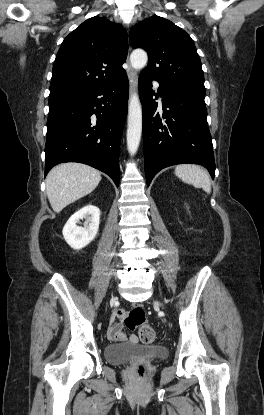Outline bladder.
<instances>
[{
	"mask_svg": "<svg viewBox=\"0 0 264 415\" xmlns=\"http://www.w3.org/2000/svg\"><path fill=\"white\" fill-rule=\"evenodd\" d=\"M104 357L114 365H123L134 357H144L149 360L166 359L168 351L163 346H144L138 343L127 342L105 346Z\"/></svg>",
	"mask_w": 264,
	"mask_h": 415,
	"instance_id": "31cf9c89",
	"label": "bladder"
}]
</instances>
